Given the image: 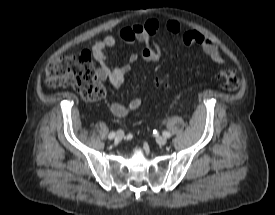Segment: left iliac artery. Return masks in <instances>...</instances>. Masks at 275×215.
Instances as JSON below:
<instances>
[{"mask_svg":"<svg viewBox=\"0 0 275 215\" xmlns=\"http://www.w3.org/2000/svg\"><path fill=\"white\" fill-rule=\"evenodd\" d=\"M163 136H165L166 138H170V137H171V134H170V132H168V131H164V132H163Z\"/></svg>","mask_w":275,"mask_h":215,"instance_id":"44dca946","label":"left iliac artery"}]
</instances>
